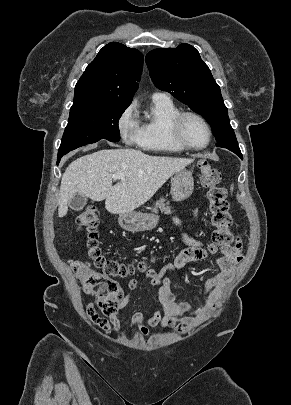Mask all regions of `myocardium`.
<instances>
[{"label":"myocardium","mask_w":291,"mask_h":405,"mask_svg":"<svg viewBox=\"0 0 291 405\" xmlns=\"http://www.w3.org/2000/svg\"><path fill=\"white\" fill-rule=\"evenodd\" d=\"M189 117L198 120L205 127V129L207 131V135H208L207 142L202 146L191 145L185 139V137L183 135V124H184V121ZM170 131H171V136H172L173 140L178 145H180L181 147H183L184 149H187V150H192V151L204 150L209 146V144L211 143V140H212V129H211L209 123L202 115H200L199 113L194 112V111L179 112L173 118V120L171 122Z\"/></svg>","instance_id":"myocardium-1"}]
</instances>
